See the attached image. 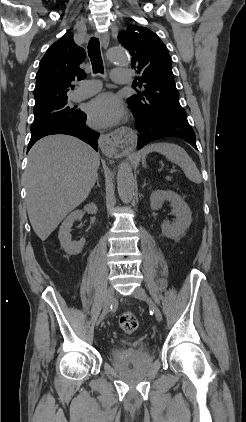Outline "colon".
I'll return each mask as SVG.
<instances>
[{
	"mask_svg": "<svg viewBox=\"0 0 246 422\" xmlns=\"http://www.w3.org/2000/svg\"><path fill=\"white\" fill-rule=\"evenodd\" d=\"M138 319L135 314L131 312H126L122 314L119 318V326L120 328L128 334L135 332L138 328Z\"/></svg>",
	"mask_w": 246,
	"mask_h": 422,
	"instance_id": "colon-1",
	"label": "colon"
}]
</instances>
